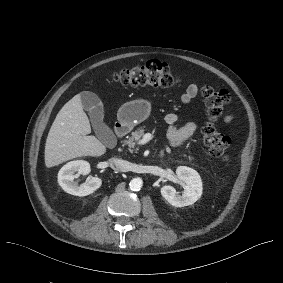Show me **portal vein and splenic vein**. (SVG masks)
<instances>
[{"instance_id":"18ae733b","label":"portal vein and splenic vein","mask_w":283,"mask_h":283,"mask_svg":"<svg viewBox=\"0 0 283 283\" xmlns=\"http://www.w3.org/2000/svg\"><path fill=\"white\" fill-rule=\"evenodd\" d=\"M148 142V140H147V134H145L141 139H139V140H137V144L138 145H144L143 143H147Z\"/></svg>"}]
</instances>
